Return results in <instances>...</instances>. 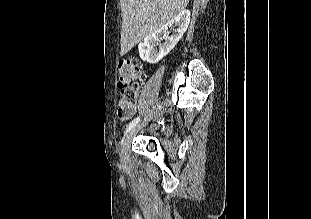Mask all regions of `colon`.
Segmentation results:
<instances>
[{
    "instance_id": "colon-1",
    "label": "colon",
    "mask_w": 311,
    "mask_h": 219,
    "mask_svg": "<svg viewBox=\"0 0 311 219\" xmlns=\"http://www.w3.org/2000/svg\"><path fill=\"white\" fill-rule=\"evenodd\" d=\"M119 73V89L122 94V106L126 112L133 106L138 97V89L132 85V82L137 80L142 73V65L135 58H123L118 63Z\"/></svg>"
}]
</instances>
